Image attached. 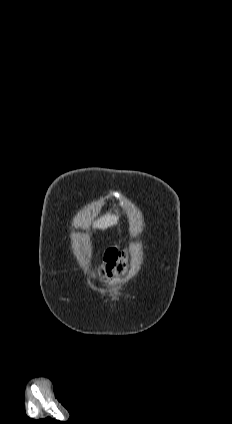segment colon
Wrapping results in <instances>:
<instances>
[{
	"mask_svg": "<svg viewBox=\"0 0 232 424\" xmlns=\"http://www.w3.org/2000/svg\"><path fill=\"white\" fill-rule=\"evenodd\" d=\"M129 252L116 249L107 250L103 254L102 274L112 278L125 274L128 266Z\"/></svg>",
	"mask_w": 232,
	"mask_h": 424,
	"instance_id": "obj_1",
	"label": "colon"
}]
</instances>
